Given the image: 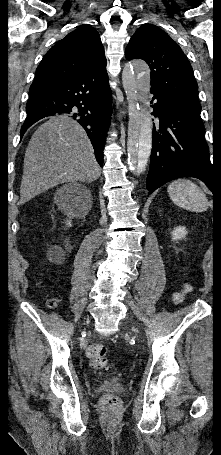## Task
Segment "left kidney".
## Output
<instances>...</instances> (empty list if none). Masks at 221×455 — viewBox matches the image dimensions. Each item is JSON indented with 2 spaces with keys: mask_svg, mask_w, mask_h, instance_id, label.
Returning a JSON list of instances; mask_svg holds the SVG:
<instances>
[{
  "mask_svg": "<svg viewBox=\"0 0 221 455\" xmlns=\"http://www.w3.org/2000/svg\"><path fill=\"white\" fill-rule=\"evenodd\" d=\"M186 234H187L186 228L183 226H179L172 231V239L181 240L185 238Z\"/></svg>",
  "mask_w": 221,
  "mask_h": 455,
  "instance_id": "5707ae66",
  "label": "left kidney"
}]
</instances>
